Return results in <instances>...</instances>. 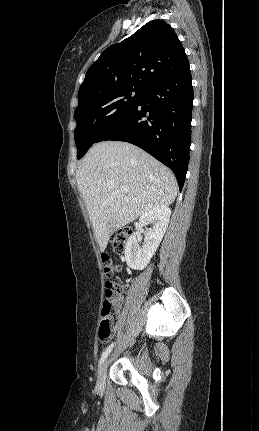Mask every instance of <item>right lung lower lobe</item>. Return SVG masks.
Listing matches in <instances>:
<instances>
[{
    "label": "right lung lower lobe",
    "mask_w": 259,
    "mask_h": 431,
    "mask_svg": "<svg viewBox=\"0 0 259 431\" xmlns=\"http://www.w3.org/2000/svg\"><path fill=\"white\" fill-rule=\"evenodd\" d=\"M193 88L189 65L148 87L140 101L97 142L132 143L168 166L181 190L191 145Z\"/></svg>",
    "instance_id": "98d812e1"
}]
</instances>
